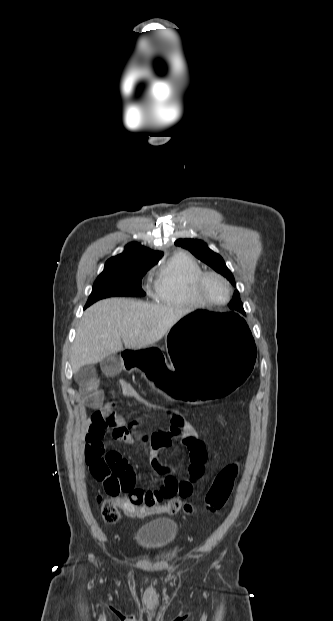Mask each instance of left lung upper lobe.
<instances>
[{"label": "left lung upper lobe", "mask_w": 333, "mask_h": 621, "mask_svg": "<svg viewBox=\"0 0 333 621\" xmlns=\"http://www.w3.org/2000/svg\"><path fill=\"white\" fill-rule=\"evenodd\" d=\"M175 245L189 250L195 257L209 265L216 272L225 276L232 283V285L236 286L234 277L230 270L226 267L223 258L219 254L210 250L206 243L197 239H178L175 241ZM229 308L233 312L245 314L238 291L235 292L234 297L230 301Z\"/></svg>", "instance_id": "1"}]
</instances>
